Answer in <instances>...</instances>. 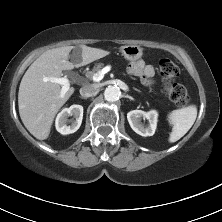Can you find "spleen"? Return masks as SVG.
Masks as SVG:
<instances>
[{
    "label": "spleen",
    "mask_w": 222,
    "mask_h": 222,
    "mask_svg": "<svg viewBox=\"0 0 222 222\" xmlns=\"http://www.w3.org/2000/svg\"><path fill=\"white\" fill-rule=\"evenodd\" d=\"M196 117L197 108L195 105H189L170 112L168 121L172 125V132L169 136V142L173 143L182 138L193 126Z\"/></svg>",
    "instance_id": "3e777b00"
}]
</instances>
